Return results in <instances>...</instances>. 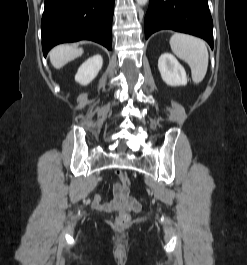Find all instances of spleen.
<instances>
[{
  "label": "spleen",
  "instance_id": "3e777b00",
  "mask_svg": "<svg viewBox=\"0 0 247 265\" xmlns=\"http://www.w3.org/2000/svg\"><path fill=\"white\" fill-rule=\"evenodd\" d=\"M172 52L188 63L194 83H200L207 72L208 50L205 42L199 38L183 33H175L170 38Z\"/></svg>",
  "mask_w": 247,
  "mask_h": 265
}]
</instances>
